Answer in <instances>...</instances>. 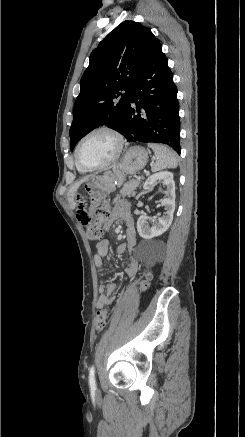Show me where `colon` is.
Segmentation results:
<instances>
[{
  "mask_svg": "<svg viewBox=\"0 0 245 437\" xmlns=\"http://www.w3.org/2000/svg\"><path fill=\"white\" fill-rule=\"evenodd\" d=\"M109 217V207L107 204H102L97 207L93 216L90 217V222L88 224H82L85 227L86 235L89 241L95 242L100 239L102 234L101 224L106 221ZM150 280V275L147 274L141 283V288L144 290L148 286ZM109 318L108 309L104 308L97 312L95 319V328L98 332L102 331Z\"/></svg>",
  "mask_w": 245,
  "mask_h": 437,
  "instance_id": "obj_1",
  "label": "colon"
}]
</instances>
